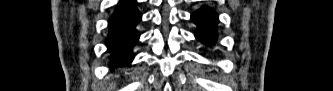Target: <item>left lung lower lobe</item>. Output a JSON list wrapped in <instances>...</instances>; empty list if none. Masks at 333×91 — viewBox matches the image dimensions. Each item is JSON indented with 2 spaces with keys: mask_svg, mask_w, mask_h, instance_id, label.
<instances>
[{
  "mask_svg": "<svg viewBox=\"0 0 333 91\" xmlns=\"http://www.w3.org/2000/svg\"><path fill=\"white\" fill-rule=\"evenodd\" d=\"M191 19L197 25L195 37L206 45H213L217 39V13L211 7L204 5L191 15Z\"/></svg>",
  "mask_w": 333,
  "mask_h": 91,
  "instance_id": "obj_1",
  "label": "left lung lower lobe"
}]
</instances>
